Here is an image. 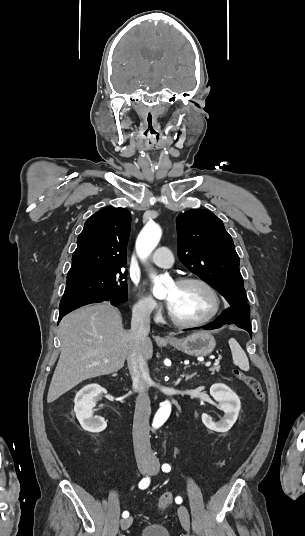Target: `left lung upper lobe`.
Returning <instances> with one entry per match:
<instances>
[{"instance_id": "obj_1", "label": "left lung upper lobe", "mask_w": 305, "mask_h": 536, "mask_svg": "<svg viewBox=\"0 0 305 536\" xmlns=\"http://www.w3.org/2000/svg\"><path fill=\"white\" fill-rule=\"evenodd\" d=\"M176 225L180 261L220 292L230 307L247 304L239 256L223 222L208 210L192 209L180 213Z\"/></svg>"}]
</instances>
